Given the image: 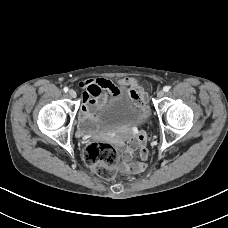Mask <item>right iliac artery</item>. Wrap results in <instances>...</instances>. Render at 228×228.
<instances>
[{
  "label": "right iliac artery",
  "mask_w": 228,
  "mask_h": 228,
  "mask_svg": "<svg viewBox=\"0 0 228 228\" xmlns=\"http://www.w3.org/2000/svg\"><path fill=\"white\" fill-rule=\"evenodd\" d=\"M63 90H64V92H68L69 89H68V87H64Z\"/></svg>",
  "instance_id": "82829eb1"
}]
</instances>
